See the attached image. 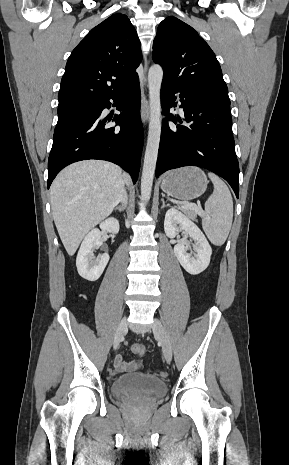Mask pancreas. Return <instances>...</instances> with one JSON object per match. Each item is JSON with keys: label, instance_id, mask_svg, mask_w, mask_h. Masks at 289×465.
Segmentation results:
<instances>
[{"label": "pancreas", "instance_id": "pancreas-1", "mask_svg": "<svg viewBox=\"0 0 289 465\" xmlns=\"http://www.w3.org/2000/svg\"><path fill=\"white\" fill-rule=\"evenodd\" d=\"M182 210L192 220H196L197 212L195 210H192V209H182Z\"/></svg>", "mask_w": 289, "mask_h": 465}]
</instances>
